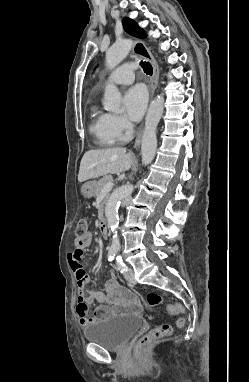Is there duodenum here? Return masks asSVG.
Returning <instances> with one entry per match:
<instances>
[{
	"mask_svg": "<svg viewBox=\"0 0 249 382\" xmlns=\"http://www.w3.org/2000/svg\"><path fill=\"white\" fill-rule=\"evenodd\" d=\"M99 231L101 233V235L103 237H108L109 233H108V226H107V221L104 217H101L100 218V221H99Z\"/></svg>",
	"mask_w": 249,
	"mask_h": 382,
	"instance_id": "410a0bca",
	"label": "duodenum"
}]
</instances>
